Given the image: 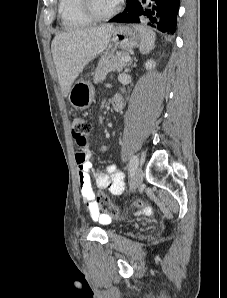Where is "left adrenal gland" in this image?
Masks as SVG:
<instances>
[{
	"label": "left adrenal gland",
	"instance_id": "1",
	"mask_svg": "<svg viewBox=\"0 0 227 298\" xmlns=\"http://www.w3.org/2000/svg\"><path fill=\"white\" fill-rule=\"evenodd\" d=\"M134 60H136V58L134 57ZM132 63H133V58L132 59H130V61H129V63H128V67H130L131 65H132Z\"/></svg>",
	"mask_w": 227,
	"mask_h": 298
}]
</instances>
